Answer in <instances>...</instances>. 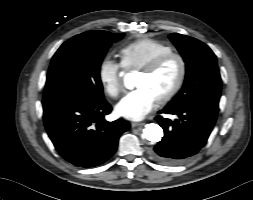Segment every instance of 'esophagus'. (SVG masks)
<instances>
[{
    "label": "esophagus",
    "instance_id": "obj_1",
    "mask_svg": "<svg viewBox=\"0 0 253 200\" xmlns=\"http://www.w3.org/2000/svg\"><path fill=\"white\" fill-rule=\"evenodd\" d=\"M144 123H142V122H132L131 123V126H132V128H135V127H138V126H142Z\"/></svg>",
    "mask_w": 253,
    "mask_h": 200
}]
</instances>
